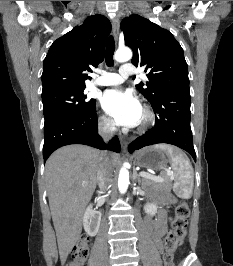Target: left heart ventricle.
<instances>
[{
	"label": "left heart ventricle",
	"instance_id": "b2bd125f",
	"mask_svg": "<svg viewBox=\"0 0 233 266\" xmlns=\"http://www.w3.org/2000/svg\"><path fill=\"white\" fill-rule=\"evenodd\" d=\"M142 119H143V112L141 113L140 122L142 121ZM140 122H139V123H140Z\"/></svg>",
	"mask_w": 233,
	"mask_h": 266
}]
</instances>
